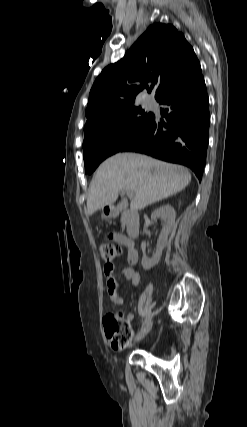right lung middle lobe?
<instances>
[{
	"label": "right lung middle lobe",
	"mask_w": 247,
	"mask_h": 427,
	"mask_svg": "<svg viewBox=\"0 0 247 427\" xmlns=\"http://www.w3.org/2000/svg\"><path fill=\"white\" fill-rule=\"evenodd\" d=\"M153 114L141 107H129L113 119L84 129L85 173L91 174L107 157L121 152L147 129Z\"/></svg>",
	"instance_id": "right-lung-middle-lobe-1"
}]
</instances>
